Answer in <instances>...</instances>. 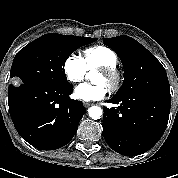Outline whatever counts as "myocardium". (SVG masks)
<instances>
[{
    "mask_svg": "<svg viewBox=\"0 0 178 178\" xmlns=\"http://www.w3.org/2000/svg\"><path fill=\"white\" fill-rule=\"evenodd\" d=\"M97 71L108 78L111 91L118 90L122 82V74L116 66H102L97 68Z\"/></svg>",
    "mask_w": 178,
    "mask_h": 178,
    "instance_id": "obj_1",
    "label": "myocardium"
}]
</instances>
